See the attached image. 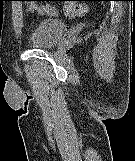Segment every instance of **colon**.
Segmentation results:
<instances>
[{"mask_svg":"<svg viewBox=\"0 0 135 161\" xmlns=\"http://www.w3.org/2000/svg\"><path fill=\"white\" fill-rule=\"evenodd\" d=\"M64 1L63 13L68 17H80L86 14L87 6L74 0H56Z\"/></svg>","mask_w":135,"mask_h":161,"instance_id":"5ec220e1","label":"colon"}]
</instances>
